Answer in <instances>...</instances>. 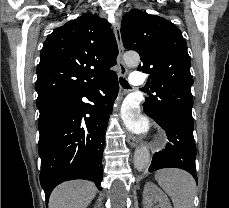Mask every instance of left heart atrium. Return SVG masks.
Returning <instances> with one entry per match:
<instances>
[{
    "mask_svg": "<svg viewBox=\"0 0 229 208\" xmlns=\"http://www.w3.org/2000/svg\"><path fill=\"white\" fill-rule=\"evenodd\" d=\"M124 122L129 128L134 131H143L145 128V121L139 115L138 110L133 106H126L122 113Z\"/></svg>",
    "mask_w": 229,
    "mask_h": 208,
    "instance_id": "obj_1",
    "label": "left heart atrium"
}]
</instances>
